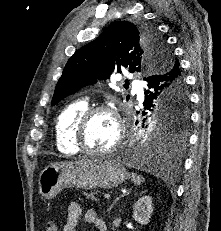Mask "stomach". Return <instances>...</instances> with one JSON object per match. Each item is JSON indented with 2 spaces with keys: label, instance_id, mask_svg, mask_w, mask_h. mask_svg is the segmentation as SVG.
<instances>
[{
  "label": "stomach",
  "instance_id": "stomach-1",
  "mask_svg": "<svg viewBox=\"0 0 221 231\" xmlns=\"http://www.w3.org/2000/svg\"><path fill=\"white\" fill-rule=\"evenodd\" d=\"M127 178L126 171L113 159L59 162L40 173L38 188L43 198L50 199L67 187L110 189Z\"/></svg>",
  "mask_w": 221,
  "mask_h": 231
}]
</instances>
